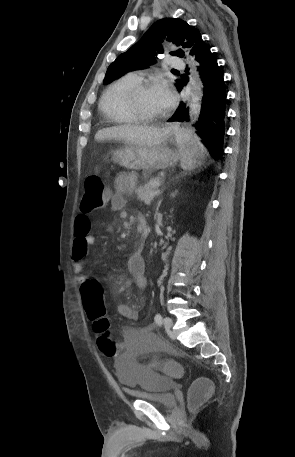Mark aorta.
<instances>
[{
    "instance_id": "aorta-1",
    "label": "aorta",
    "mask_w": 295,
    "mask_h": 457,
    "mask_svg": "<svg viewBox=\"0 0 295 457\" xmlns=\"http://www.w3.org/2000/svg\"><path fill=\"white\" fill-rule=\"evenodd\" d=\"M192 91L189 102V117L194 123L198 120L201 111V99L203 96V85L196 73L195 77L191 78Z\"/></svg>"
}]
</instances>
